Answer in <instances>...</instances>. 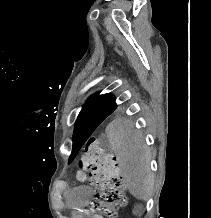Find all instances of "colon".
<instances>
[{
    "label": "colon",
    "mask_w": 211,
    "mask_h": 218,
    "mask_svg": "<svg viewBox=\"0 0 211 218\" xmlns=\"http://www.w3.org/2000/svg\"><path fill=\"white\" fill-rule=\"evenodd\" d=\"M77 179H88L96 189L92 211L114 217L127 204L124 181L116 157L103 149L96 138H90L79 161ZM97 218H100L97 215Z\"/></svg>",
    "instance_id": "5ec220e1"
}]
</instances>
